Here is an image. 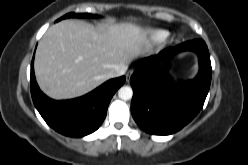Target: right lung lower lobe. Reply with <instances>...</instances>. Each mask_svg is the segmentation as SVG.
I'll list each match as a JSON object with an SVG mask.
<instances>
[{
  "instance_id": "1",
  "label": "right lung lower lobe",
  "mask_w": 248,
  "mask_h": 165,
  "mask_svg": "<svg viewBox=\"0 0 248 165\" xmlns=\"http://www.w3.org/2000/svg\"><path fill=\"white\" fill-rule=\"evenodd\" d=\"M31 63L30 88L35 107L46 123L57 132L70 137H83L99 128L104 121L109 102L125 77L111 79L85 96L55 101L39 89Z\"/></svg>"
}]
</instances>
